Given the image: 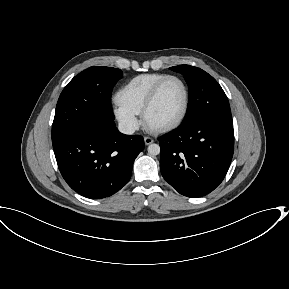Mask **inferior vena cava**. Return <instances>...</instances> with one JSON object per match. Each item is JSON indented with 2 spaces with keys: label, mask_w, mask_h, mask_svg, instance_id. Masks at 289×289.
Instances as JSON below:
<instances>
[{
  "label": "inferior vena cava",
  "mask_w": 289,
  "mask_h": 289,
  "mask_svg": "<svg viewBox=\"0 0 289 289\" xmlns=\"http://www.w3.org/2000/svg\"><path fill=\"white\" fill-rule=\"evenodd\" d=\"M136 129L137 127L131 123L120 122L118 124V130L123 134L131 135L135 132Z\"/></svg>",
  "instance_id": "602c4592"
}]
</instances>
